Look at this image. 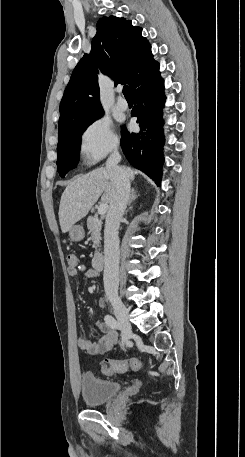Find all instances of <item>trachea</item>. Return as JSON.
I'll return each instance as SVG.
<instances>
[{
    "label": "trachea",
    "instance_id": "1",
    "mask_svg": "<svg viewBox=\"0 0 245 457\" xmlns=\"http://www.w3.org/2000/svg\"><path fill=\"white\" fill-rule=\"evenodd\" d=\"M123 93H124V96H125V97H131V96H130V93H129V87H128V85H124V87H123Z\"/></svg>",
    "mask_w": 245,
    "mask_h": 457
}]
</instances>
